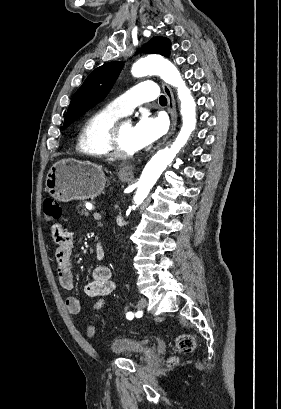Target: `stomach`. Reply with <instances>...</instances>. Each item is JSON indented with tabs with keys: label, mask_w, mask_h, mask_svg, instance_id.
Instances as JSON below:
<instances>
[{
	"label": "stomach",
	"mask_w": 281,
	"mask_h": 409,
	"mask_svg": "<svg viewBox=\"0 0 281 409\" xmlns=\"http://www.w3.org/2000/svg\"><path fill=\"white\" fill-rule=\"evenodd\" d=\"M121 180L129 176L119 174ZM46 188L50 196L62 202L95 198L103 192L106 176L102 166L90 160L62 158L52 164L46 176Z\"/></svg>",
	"instance_id": "1"
}]
</instances>
